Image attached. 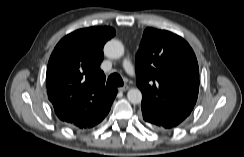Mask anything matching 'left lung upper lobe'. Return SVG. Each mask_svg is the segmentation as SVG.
Masks as SVG:
<instances>
[{
  "label": "left lung upper lobe",
  "mask_w": 244,
  "mask_h": 157,
  "mask_svg": "<svg viewBox=\"0 0 244 157\" xmlns=\"http://www.w3.org/2000/svg\"><path fill=\"white\" fill-rule=\"evenodd\" d=\"M135 69L141 107L168 129L179 125L193 110L199 91L198 62L189 44L169 31L147 28Z\"/></svg>",
  "instance_id": "1"
}]
</instances>
